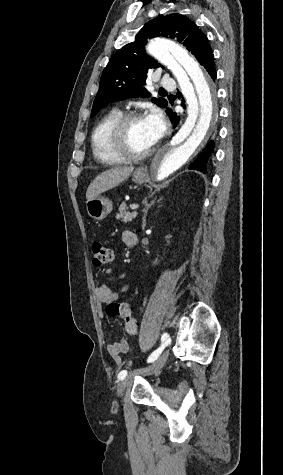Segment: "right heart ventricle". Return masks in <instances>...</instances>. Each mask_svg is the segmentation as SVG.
<instances>
[{"label":"right heart ventricle","instance_id":"right-heart-ventricle-1","mask_svg":"<svg viewBox=\"0 0 283 475\" xmlns=\"http://www.w3.org/2000/svg\"><path fill=\"white\" fill-rule=\"evenodd\" d=\"M123 115V111L118 108H112L106 112L95 124L91 133V146L94 156L103 162L99 156V151L105 153L106 139L114 123Z\"/></svg>","mask_w":283,"mask_h":475}]
</instances>
